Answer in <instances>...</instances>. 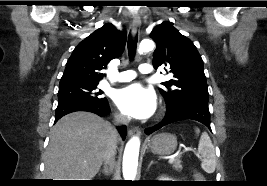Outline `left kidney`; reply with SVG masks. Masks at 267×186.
<instances>
[{"label":"left kidney","instance_id":"obj_1","mask_svg":"<svg viewBox=\"0 0 267 186\" xmlns=\"http://www.w3.org/2000/svg\"><path fill=\"white\" fill-rule=\"evenodd\" d=\"M159 181H171L168 177H161Z\"/></svg>","mask_w":267,"mask_h":186}]
</instances>
